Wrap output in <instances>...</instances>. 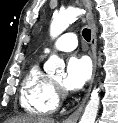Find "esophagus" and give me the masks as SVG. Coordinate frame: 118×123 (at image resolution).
Returning <instances> with one entry per match:
<instances>
[{
  "label": "esophagus",
  "instance_id": "esophagus-1",
  "mask_svg": "<svg viewBox=\"0 0 118 123\" xmlns=\"http://www.w3.org/2000/svg\"><path fill=\"white\" fill-rule=\"evenodd\" d=\"M83 2L85 4L86 9L88 10L87 21L91 27V56L93 60V74H92L90 86L85 94V97L83 98L78 108L68 118H66L63 121L64 123H76L77 122L83 110V107L85 105V102L88 99V96L90 94L93 81H94V77H95V73H96V68H97V37H96V25L94 22L93 12H92V3L90 0H84Z\"/></svg>",
  "mask_w": 118,
  "mask_h": 123
}]
</instances>
